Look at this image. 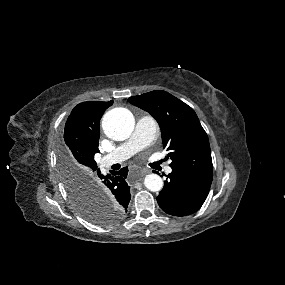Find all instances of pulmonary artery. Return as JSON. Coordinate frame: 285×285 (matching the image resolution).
<instances>
[{
    "mask_svg": "<svg viewBox=\"0 0 285 285\" xmlns=\"http://www.w3.org/2000/svg\"><path fill=\"white\" fill-rule=\"evenodd\" d=\"M158 127L151 116H143L138 119L134 132L124 143L117 146L112 152L101 158L102 167H110L115 163L123 162L148 146L156 138ZM171 167L166 168V173H171Z\"/></svg>",
    "mask_w": 285,
    "mask_h": 285,
    "instance_id": "obj_1",
    "label": "pulmonary artery"
}]
</instances>
